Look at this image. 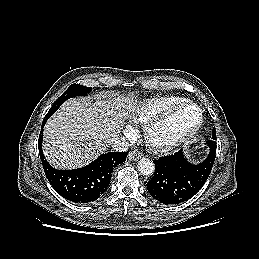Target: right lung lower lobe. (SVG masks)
<instances>
[{
    "instance_id": "1",
    "label": "right lung lower lobe",
    "mask_w": 259,
    "mask_h": 259,
    "mask_svg": "<svg viewBox=\"0 0 259 259\" xmlns=\"http://www.w3.org/2000/svg\"><path fill=\"white\" fill-rule=\"evenodd\" d=\"M48 118L45 116L43 120L38 141L39 154L48 181L62 197L75 203H88L98 199L106 191L114 167L124 162L128 153L102 154L89 165L76 170L55 169L46 161L42 151L43 128Z\"/></svg>"
}]
</instances>
